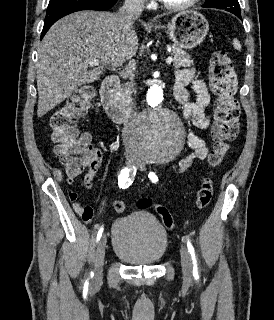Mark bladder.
I'll use <instances>...</instances> for the list:
<instances>
[{"label": "bladder", "mask_w": 274, "mask_h": 320, "mask_svg": "<svg viewBox=\"0 0 274 320\" xmlns=\"http://www.w3.org/2000/svg\"><path fill=\"white\" fill-rule=\"evenodd\" d=\"M114 255L127 264L149 266L160 262L168 249V235L153 215L132 211L117 218L111 229Z\"/></svg>", "instance_id": "obj_1"}]
</instances>
